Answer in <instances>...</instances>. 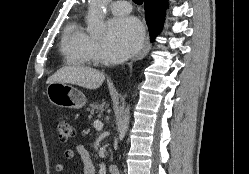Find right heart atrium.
I'll return each instance as SVG.
<instances>
[{"label": "right heart atrium", "instance_id": "d8ad5b80", "mask_svg": "<svg viewBox=\"0 0 249 174\" xmlns=\"http://www.w3.org/2000/svg\"><path fill=\"white\" fill-rule=\"evenodd\" d=\"M88 53L92 59H97L99 57V45L93 39H90L88 43Z\"/></svg>", "mask_w": 249, "mask_h": 174}]
</instances>
